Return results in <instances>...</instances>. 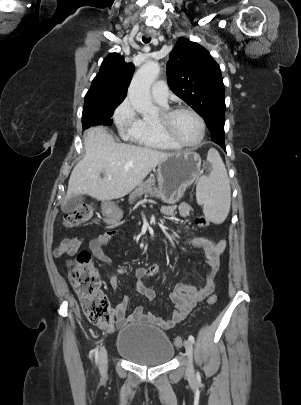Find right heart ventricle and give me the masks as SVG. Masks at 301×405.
Wrapping results in <instances>:
<instances>
[{
	"instance_id": "obj_1",
	"label": "right heart ventricle",
	"mask_w": 301,
	"mask_h": 405,
	"mask_svg": "<svg viewBox=\"0 0 301 405\" xmlns=\"http://www.w3.org/2000/svg\"><path fill=\"white\" fill-rule=\"evenodd\" d=\"M128 137L135 143L159 150H177L179 146L172 143L158 131L155 121L140 119L138 125Z\"/></svg>"
}]
</instances>
